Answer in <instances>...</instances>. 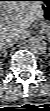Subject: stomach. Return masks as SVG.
<instances>
[{
    "instance_id": "1",
    "label": "stomach",
    "mask_w": 50,
    "mask_h": 111,
    "mask_svg": "<svg viewBox=\"0 0 50 111\" xmlns=\"http://www.w3.org/2000/svg\"><path fill=\"white\" fill-rule=\"evenodd\" d=\"M42 17L41 20L44 22L47 28L50 26V0H42L41 2Z\"/></svg>"
}]
</instances>
